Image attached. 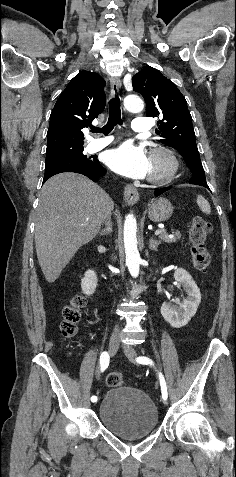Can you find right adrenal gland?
I'll list each match as a JSON object with an SVG mask.
<instances>
[{
    "label": "right adrenal gland",
    "mask_w": 236,
    "mask_h": 477,
    "mask_svg": "<svg viewBox=\"0 0 236 477\" xmlns=\"http://www.w3.org/2000/svg\"><path fill=\"white\" fill-rule=\"evenodd\" d=\"M112 232L111 216H108L105 221V229L100 232V235H109Z\"/></svg>",
    "instance_id": "1"
}]
</instances>
